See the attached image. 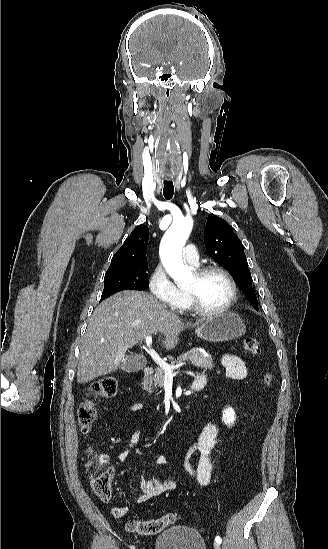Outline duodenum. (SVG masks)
Segmentation results:
<instances>
[{
  "instance_id": "1",
  "label": "duodenum",
  "mask_w": 328,
  "mask_h": 549,
  "mask_svg": "<svg viewBox=\"0 0 328 549\" xmlns=\"http://www.w3.org/2000/svg\"><path fill=\"white\" fill-rule=\"evenodd\" d=\"M154 372L152 367H145L143 369V375L145 378L151 376ZM206 380L204 376H197L196 379L191 384V391L198 392L205 386Z\"/></svg>"
}]
</instances>
